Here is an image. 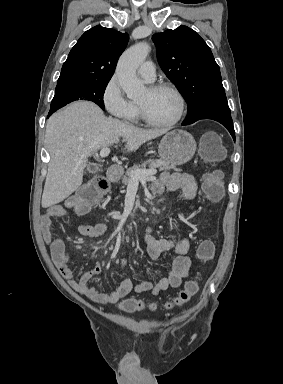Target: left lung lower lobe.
Listing matches in <instances>:
<instances>
[{
  "mask_svg": "<svg viewBox=\"0 0 283 384\" xmlns=\"http://www.w3.org/2000/svg\"><path fill=\"white\" fill-rule=\"evenodd\" d=\"M201 119H212V120H216V121L220 122L222 125H224L228 129V131L230 132L231 136L235 140V132H234V127H233V121H232V118H231L230 115L206 116V117L201 118ZM192 123H194V122L182 123V125H189V124H192Z\"/></svg>",
  "mask_w": 283,
  "mask_h": 384,
  "instance_id": "obj_1",
  "label": "left lung lower lobe"
}]
</instances>
